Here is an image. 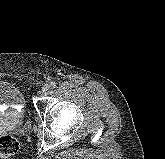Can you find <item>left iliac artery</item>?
<instances>
[{"label": "left iliac artery", "mask_w": 165, "mask_h": 159, "mask_svg": "<svg viewBox=\"0 0 165 159\" xmlns=\"http://www.w3.org/2000/svg\"><path fill=\"white\" fill-rule=\"evenodd\" d=\"M56 85H57V83H56V82H54V81H52V82L50 83V87H51V88H55V87H56Z\"/></svg>", "instance_id": "1"}]
</instances>
